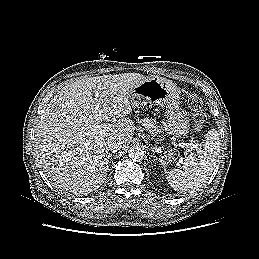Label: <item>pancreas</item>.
I'll return each instance as SVG.
<instances>
[{
	"instance_id": "1",
	"label": "pancreas",
	"mask_w": 259,
	"mask_h": 259,
	"mask_svg": "<svg viewBox=\"0 0 259 259\" xmlns=\"http://www.w3.org/2000/svg\"><path fill=\"white\" fill-rule=\"evenodd\" d=\"M139 124H141L149 133L156 136L157 133L162 132V127L158 126L157 121L155 119H150L148 117L137 120Z\"/></svg>"
}]
</instances>
